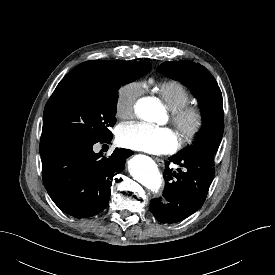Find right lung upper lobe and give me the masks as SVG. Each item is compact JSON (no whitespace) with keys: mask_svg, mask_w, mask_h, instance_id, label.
Wrapping results in <instances>:
<instances>
[{"mask_svg":"<svg viewBox=\"0 0 275 275\" xmlns=\"http://www.w3.org/2000/svg\"><path fill=\"white\" fill-rule=\"evenodd\" d=\"M123 61L91 60L76 66L61 82L79 80L89 77L110 78L114 76ZM141 61L139 63H143ZM54 151L53 148L42 145L40 141V155L43 156Z\"/></svg>","mask_w":275,"mask_h":275,"instance_id":"obj_1","label":"right lung upper lobe"}]
</instances>
